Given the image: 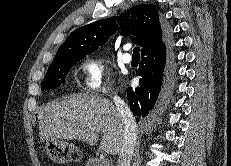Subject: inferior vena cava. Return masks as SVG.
I'll list each match as a JSON object with an SVG mask.
<instances>
[{"instance_id": "obj_1", "label": "inferior vena cava", "mask_w": 231, "mask_h": 166, "mask_svg": "<svg viewBox=\"0 0 231 166\" xmlns=\"http://www.w3.org/2000/svg\"><path fill=\"white\" fill-rule=\"evenodd\" d=\"M117 111L124 121L122 146L118 153L116 166H130L137 140L136 122L129 106L120 98H113Z\"/></svg>"}]
</instances>
